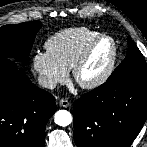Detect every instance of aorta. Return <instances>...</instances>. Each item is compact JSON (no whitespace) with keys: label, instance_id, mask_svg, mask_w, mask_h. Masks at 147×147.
Listing matches in <instances>:
<instances>
[{"label":"aorta","instance_id":"aorta-1","mask_svg":"<svg viewBox=\"0 0 147 147\" xmlns=\"http://www.w3.org/2000/svg\"><path fill=\"white\" fill-rule=\"evenodd\" d=\"M54 121L59 126H68L72 122L71 113L67 110H59L54 115Z\"/></svg>","mask_w":147,"mask_h":147}]
</instances>
